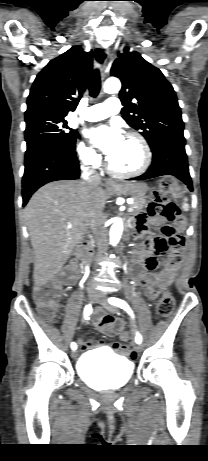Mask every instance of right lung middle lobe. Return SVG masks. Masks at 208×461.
<instances>
[{
	"instance_id": "obj_1",
	"label": "right lung middle lobe",
	"mask_w": 208,
	"mask_h": 461,
	"mask_svg": "<svg viewBox=\"0 0 208 461\" xmlns=\"http://www.w3.org/2000/svg\"><path fill=\"white\" fill-rule=\"evenodd\" d=\"M64 117L49 115L26 116V153L47 143L74 150L78 133L67 126Z\"/></svg>"
}]
</instances>
